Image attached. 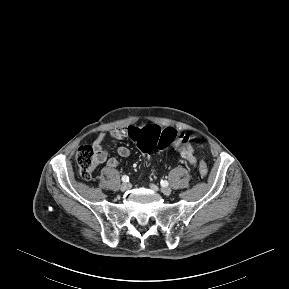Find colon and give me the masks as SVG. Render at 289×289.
Here are the masks:
<instances>
[{
    "label": "colon",
    "instance_id": "colon-1",
    "mask_svg": "<svg viewBox=\"0 0 289 289\" xmlns=\"http://www.w3.org/2000/svg\"><path fill=\"white\" fill-rule=\"evenodd\" d=\"M129 132L131 138L147 159L156 149L163 150L167 148L180 136L174 129H161L157 125H148L143 128L131 127ZM76 160L81 177L84 180L92 179L95 169L100 163L98 151L91 145L81 146L77 151ZM198 171L201 178L207 176L208 168L205 161H200Z\"/></svg>",
    "mask_w": 289,
    "mask_h": 289
}]
</instances>
